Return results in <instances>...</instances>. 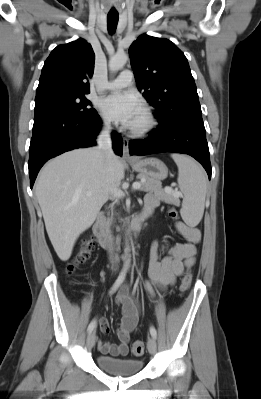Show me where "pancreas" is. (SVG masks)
<instances>
[{"label":"pancreas","instance_id":"cf45deb5","mask_svg":"<svg viewBox=\"0 0 261 399\" xmlns=\"http://www.w3.org/2000/svg\"><path fill=\"white\" fill-rule=\"evenodd\" d=\"M141 180H145L141 182V190L145 192H154L157 196H159L162 200L169 201L174 198V196L168 193L166 190L162 189L161 182L159 180L152 179L150 177H146L144 175L137 176ZM113 216V213H112ZM112 217L108 219V225L112 222Z\"/></svg>","mask_w":261,"mask_h":399}]
</instances>
